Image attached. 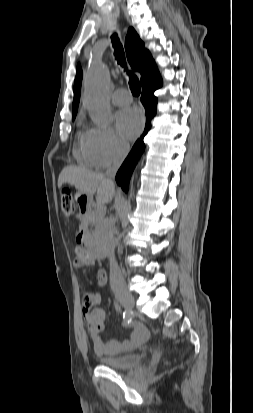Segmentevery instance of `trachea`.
I'll list each match as a JSON object with an SVG mask.
<instances>
[{
  "label": "trachea",
  "instance_id": "obj_1",
  "mask_svg": "<svg viewBox=\"0 0 253 413\" xmlns=\"http://www.w3.org/2000/svg\"><path fill=\"white\" fill-rule=\"evenodd\" d=\"M111 38H112L113 47L115 49V57L118 60V63L126 68L123 47L119 41V38L117 37V34H113ZM127 73L130 78L129 84H130V89H131L132 94L134 96L140 95L141 86H140V82L138 78L130 71H128Z\"/></svg>",
  "mask_w": 253,
  "mask_h": 413
}]
</instances>
